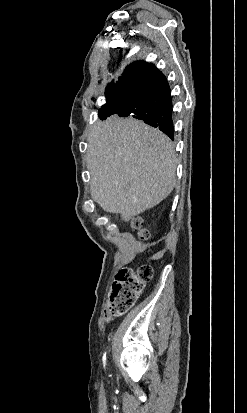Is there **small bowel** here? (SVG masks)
<instances>
[{
  "instance_id": "small-bowel-1",
  "label": "small bowel",
  "mask_w": 247,
  "mask_h": 413,
  "mask_svg": "<svg viewBox=\"0 0 247 413\" xmlns=\"http://www.w3.org/2000/svg\"><path fill=\"white\" fill-rule=\"evenodd\" d=\"M112 320H113V317H112V316H110V315H108V314L105 315V322H106V323H109V322H111Z\"/></svg>"
}]
</instances>
